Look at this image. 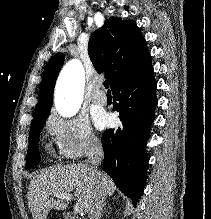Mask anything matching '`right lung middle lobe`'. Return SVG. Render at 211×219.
<instances>
[{
  "mask_svg": "<svg viewBox=\"0 0 211 219\" xmlns=\"http://www.w3.org/2000/svg\"><path fill=\"white\" fill-rule=\"evenodd\" d=\"M48 115L49 113L38 115L33 118L29 133V147L27 151L25 165L26 169H30L40 161V154L38 151V139Z\"/></svg>",
  "mask_w": 211,
  "mask_h": 219,
  "instance_id": "dd1d6c3e",
  "label": "right lung middle lobe"
}]
</instances>
